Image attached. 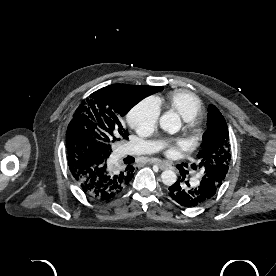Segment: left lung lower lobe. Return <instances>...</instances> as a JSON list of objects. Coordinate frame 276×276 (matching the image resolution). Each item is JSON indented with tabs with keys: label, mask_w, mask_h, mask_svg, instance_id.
Instances as JSON below:
<instances>
[{
	"label": "left lung lower lobe",
	"mask_w": 276,
	"mask_h": 276,
	"mask_svg": "<svg viewBox=\"0 0 276 276\" xmlns=\"http://www.w3.org/2000/svg\"><path fill=\"white\" fill-rule=\"evenodd\" d=\"M184 178H179L176 183L169 187V196L178 204L186 208L200 206L207 202L217 190L212 180L204 178L200 184L191 188Z\"/></svg>",
	"instance_id": "obj_1"
}]
</instances>
